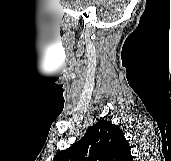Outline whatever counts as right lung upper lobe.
I'll return each instance as SVG.
<instances>
[{"instance_id": "right-lung-upper-lobe-1", "label": "right lung upper lobe", "mask_w": 171, "mask_h": 161, "mask_svg": "<svg viewBox=\"0 0 171 161\" xmlns=\"http://www.w3.org/2000/svg\"><path fill=\"white\" fill-rule=\"evenodd\" d=\"M53 161H133V157L120 128L100 120L80 141L58 152Z\"/></svg>"}]
</instances>
